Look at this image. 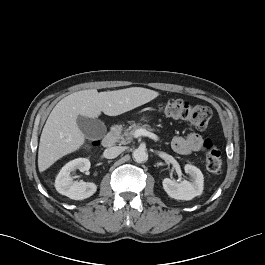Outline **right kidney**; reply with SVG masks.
Wrapping results in <instances>:
<instances>
[{
  "label": "right kidney",
  "instance_id": "1",
  "mask_svg": "<svg viewBox=\"0 0 265 265\" xmlns=\"http://www.w3.org/2000/svg\"><path fill=\"white\" fill-rule=\"evenodd\" d=\"M80 170L81 172L90 169V161L87 158H77L68 162L62 169L55 180L56 190L70 199L83 200L92 196L97 186L92 182L73 181L70 173L74 170Z\"/></svg>",
  "mask_w": 265,
  "mask_h": 265
}]
</instances>
